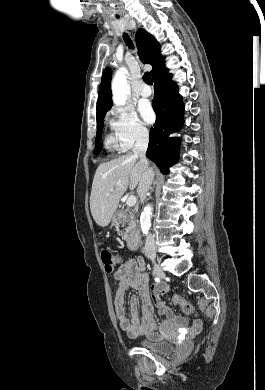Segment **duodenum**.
Segmentation results:
<instances>
[{"label":"duodenum","instance_id":"1","mask_svg":"<svg viewBox=\"0 0 265 390\" xmlns=\"http://www.w3.org/2000/svg\"><path fill=\"white\" fill-rule=\"evenodd\" d=\"M127 218L126 213L118 212L115 216L117 222H124ZM140 246V238L135 232H132L127 237V247L130 250H136Z\"/></svg>","mask_w":265,"mask_h":390}]
</instances>
